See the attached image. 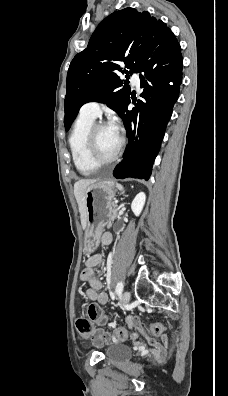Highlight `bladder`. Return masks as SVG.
I'll return each instance as SVG.
<instances>
[{
  "label": "bladder",
  "mask_w": 228,
  "mask_h": 396,
  "mask_svg": "<svg viewBox=\"0 0 228 396\" xmlns=\"http://www.w3.org/2000/svg\"><path fill=\"white\" fill-rule=\"evenodd\" d=\"M105 356L111 361H124L131 358L132 350L124 344L113 343L105 348Z\"/></svg>",
  "instance_id": "obj_1"
}]
</instances>
